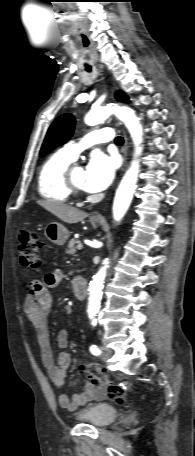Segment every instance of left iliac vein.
Segmentation results:
<instances>
[{
	"label": "left iliac vein",
	"instance_id": "obj_1",
	"mask_svg": "<svg viewBox=\"0 0 195 456\" xmlns=\"http://www.w3.org/2000/svg\"><path fill=\"white\" fill-rule=\"evenodd\" d=\"M101 349H102V352H103V354H102V359L103 360L106 361L110 356H112V354H113V350L112 349H110L108 347H101Z\"/></svg>",
	"mask_w": 195,
	"mask_h": 456
}]
</instances>
